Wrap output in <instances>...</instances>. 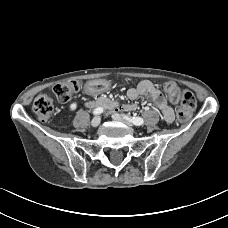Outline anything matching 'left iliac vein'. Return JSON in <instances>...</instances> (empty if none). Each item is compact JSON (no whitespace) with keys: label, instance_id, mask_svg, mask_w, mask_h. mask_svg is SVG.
<instances>
[{"label":"left iliac vein","instance_id":"left-iliac-vein-1","mask_svg":"<svg viewBox=\"0 0 228 228\" xmlns=\"http://www.w3.org/2000/svg\"><path fill=\"white\" fill-rule=\"evenodd\" d=\"M112 118L115 121H119V122L126 123L128 125H132V122L131 121L127 120L126 118L122 117L121 115H119L117 113L112 114Z\"/></svg>","mask_w":228,"mask_h":228}]
</instances>
